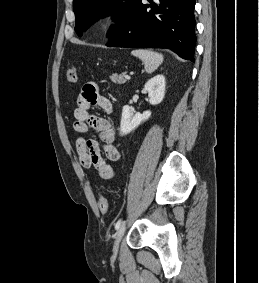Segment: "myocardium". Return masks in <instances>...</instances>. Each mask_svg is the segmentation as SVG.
<instances>
[{
	"label": "myocardium",
	"instance_id": "1",
	"mask_svg": "<svg viewBox=\"0 0 259 283\" xmlns=\"http://www.w3.org/2000/svg\"><path fill=\"white\" fill-rule=\"evenodd\" d=\"M118 22V18L113 13H109L96 21L95 28L99 33L107 34L117 26Z\"/></svg>",
	"mask_w": 259,
	"mask_h": 283
}]
</instances>
